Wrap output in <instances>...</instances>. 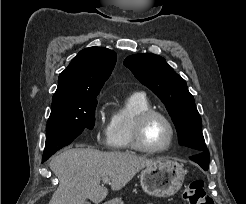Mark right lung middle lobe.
<instances>
[{
  "label": "right lung middle lobe",
  "instance_id": "1",
  "mask_svg": "<svg viewBox=\"0 0 246 204\" xmlns=\"http://www.w3.org/2000/svg\"><path fill=\"white\" fill-rule=\"evenodd\" d=\"M97 95L52 102L43 158L70 144L85 128L93 129Z\"/></svg>",
  "mask_w": 246,
  "mask_h": 204
}]
</instances>
